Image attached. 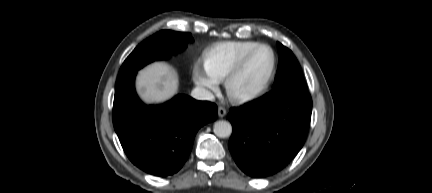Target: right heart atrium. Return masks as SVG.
I'll list each match as a JSON object with an SVG mask.
<instances>
[{
    "instance_id": "1",
    "label": "right heart atrium",
    "mask_w": 432,
    "mask_h": 193,
    "mask_svg": "<svg viewBox=\"0 0 432 193\" xmlns=\"http://www.w3.org/2000/svg\"><path fill=\"white\" fill-rule=\"evenodd\" d=\"M193 79L197 85L207 90L215 91L217 89L218 81L199 64H195L193 67Z\"/></svg>"
}]
</instances>
